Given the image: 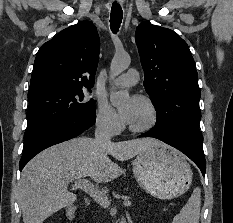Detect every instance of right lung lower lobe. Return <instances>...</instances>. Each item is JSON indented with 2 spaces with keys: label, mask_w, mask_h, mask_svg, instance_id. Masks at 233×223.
I'll return each instance as SVG.
<instances>
[{
  "label": "right lung lower lobe",
  "mask_w": 233,
  "mask_h": 223,
  "mask_svg": "<svg viewBox=\"0 0 233 223\" xmlns=\"http://www.w3.org/2000/svg\"><path fill=\"white\" fill-rule=\"evenodd\" d=\"M96 111H84L54 123L25 138L19 168L23 167L42 150L78 136L95 124Z\"/></svg>",
  "instance_id": "obj_1"
}]
</instances>
